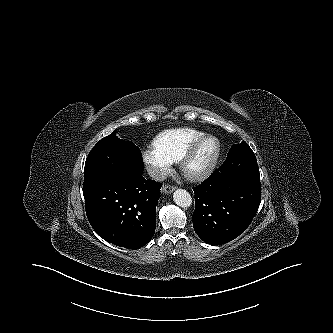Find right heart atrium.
<instances>
[{
  "mask_svg": "<svg viewBox=\"0 0 333 333\" xmlns=\"http://www.w3.org/2000/svg\"><path fill=\"white\" fill-rule=\"evenodd\" d=\"M142 158L144 163L149 167L151 176L155 179H162L172 169L173 162L158 154L154 149L145 150Z\"/></svg>",
  "mask_w": 333,
  "mask_h": 333,
  "instance_id": "right-heart-atrium-1",
  "label": "right heart atrium"
}]
</instances>
